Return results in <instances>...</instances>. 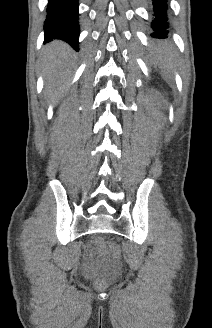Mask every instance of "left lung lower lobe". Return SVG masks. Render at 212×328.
Instances as JSON below:
<instances>
[{"instance_id":"obj_1","label":"left lung lower lobe","mask_w":212,"mask_h":328,"mask_svg":"<svg viewBox=\"0 0 212 328\" xmlns=\"http://www.w3.org/2000/svg\"><path fill=\"white\" fill-rule=\"evenodd\" d=\"M154 5L155 18L152 22L153 33L151 34L154 38H167L169 24L167 23V0H152Z\"/></svg>"}]
</instances>
